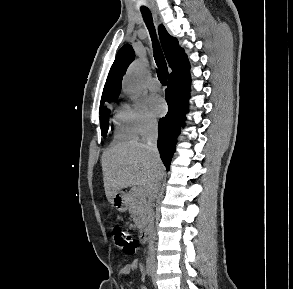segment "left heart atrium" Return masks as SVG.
Segmentation results:
<instances>
[{
  "label": "left heart atrium",
  "instance_id": "left-heart-atrium-1",
  "mask_svg": "<svg viewBox=\"0 0 293 289\" xmlns=\"http://www.w3.org/2000/svg\"><path fill=\"white\" fill-rule=\"evenodd\" d=\"M150 107L156 116H162L166 111V104L159 96H152L150 98Z\"/></svg>",
  "mask_w": 293,
  "mask_h": 289
}]
</instances>
